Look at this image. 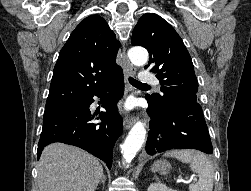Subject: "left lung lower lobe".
<instances>
[{"label": "left lung lower lobe", "instance_id": "0a47b994", "mask_svg": "<svg viewBox=\"0 0 251 191\" xmlns=\"http://www.w3.org/2000/svg\"><path fill=\"white\" fill-rule=\"evenodd\" d=\"M147 101L153 119L146 143L149 155L170 149H197L212 154L213 147L199 102H184L161 111Z\"/></svg>", "mask_w": 251, "mask_h": 191}]
</instances>
